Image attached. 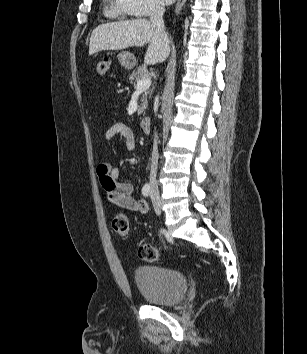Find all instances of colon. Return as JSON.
Here are the masks:
<instances>
[{"mask_svg": "<svg viewBox=\"0 0 307 354\" xmlns=\"http://www.w3.org/2000/svg\"><path fill=\"white\" fill-rule=\"evenodd\" d=\"M110 69V62L107 58L98 60L95 63V70L99 76H106ZM112 226L115 232L120 236H126L129 233V218L125 211L119 210L114 214ZM161 251L150 245L142 244L138 248V256L146 262H157L161 258Z\"/></svg>", "mask_w": 307, "mask_h": 354, "instance_id": "1", "label": "colon"}]
</instances>
